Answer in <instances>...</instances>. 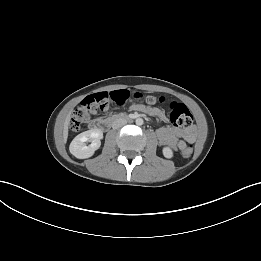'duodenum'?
<instances>
[{"label": "duodenum", "instance_id": "410a0bca", "mask_svg": "<svg viewBox=\"0 0 261 261\" xmlns=\"http://www.w3.org/2000/svg\"><path fill=\"white\" fill-rule=\"evenodd\" d=\"M124 119L127 121H131L134 119L133 116H117L113 119H101L97 120L93 123V128L100 130V131H107L112 126V123L116 120Z\"/></svg>", "mask_w": 261, "mask_h": 261}]
</instances>
